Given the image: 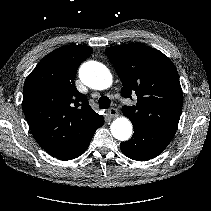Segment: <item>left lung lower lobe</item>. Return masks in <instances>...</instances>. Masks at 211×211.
Returning a JSON list of instances; mask_svg holds the SVG:
<instances>
[{"label": "left lung lower lobe", "instance_id": "1", "mask_svg": "<svg viewBox=\"0 0 211 211\" xmlns=\"http://www.w3.org/2000/svg\"><path fill=\"white\" fill-rule=\"evenodd\" d=\"M132 138L120 144L121 151L130 159L147 161L160 154L172 140L176 130L138 126L133 124Z\"/></svg>", "mask_w": 211, "mask_h": 211}]
</instances>
